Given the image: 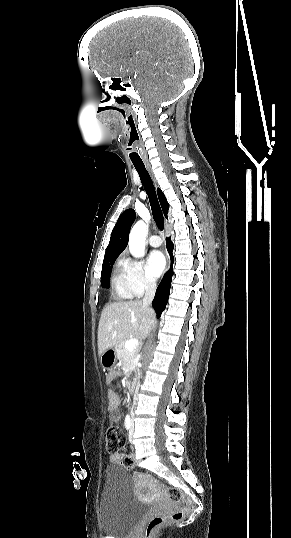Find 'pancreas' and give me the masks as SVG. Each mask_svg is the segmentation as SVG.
<instances>
[{"instance_id":"obj_1","label":"pancreas","mask_w":291,"mask_h":538,"mask_svg":"<svg viewBox=\"0 0 291 538\" xmlns=\"http://www.w3.org/2000/svg\"><path fill=\"white\" fill-rule=\"evenodd\" d=\"M126 341H122L115 347L117 358L124 363V370L126 372L132 371L135 368V356L138 353L137 349L130 351L125 348Z\"/></svg>"}]
</instances>
